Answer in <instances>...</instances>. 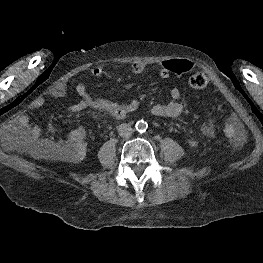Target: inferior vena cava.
<instances>
[{
	"label": "inferior vena cava",
	"mask_w": 263,
	"mask_h": 263,
	"mask_svg": "<svg viewBox=\"0 0 263 263\" xmlns=\"http://www.w3.org/2000/svg\"><path fill=\"white\" fill-rule=\"evenodd\" d=\"M117 128L120 136L128 137L132 133V128L129 124L122 123Z\"/></svg>",
	"instance_id": "obj_1"
}]
</instances>
